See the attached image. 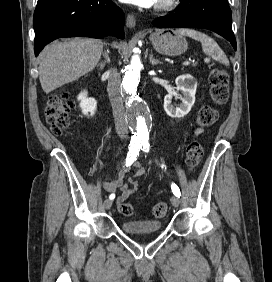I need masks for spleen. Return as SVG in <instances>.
Returning a JSON list of instances; mask_svg holds the SVG:
<instances>
[{"mask_svg":"<svg viewBox=\"0 0 272 282\" xmlns=\"http://www.w3.org/2000/svg\"><path fill=\"white\" fill-rule=\"evenodd\" d=\"M181 36H188L197 41L201 42L202 50L206 55L211 56L216 61L223 63L224 65H229V60L220 49L219 45L209 36L194 29L180 28L175 31Z\"/></svg>","mask_w":272,"mask_h":282,"instance_id":"spleen-1","label":"spleen"}]
</instances>
